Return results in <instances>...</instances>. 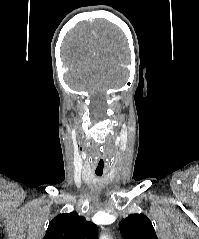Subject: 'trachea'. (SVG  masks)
I'll return each instance as SVG.
<instances>
[{
    "label": "trachea",
    "instance_id": "3493384b",
    "mask_svg": "<svg viewBox=\"0 0 199 239\" xmlns=\"http://www.w3.org/2000/svg\"><path fill=\"white\" fill-rule=\"evenodd\" d=\"M96 175L100 177V176H102V173H96Z\"/></svg>",
    "mask_w": 199,
    "mask_h": 239
}]
</instances>
